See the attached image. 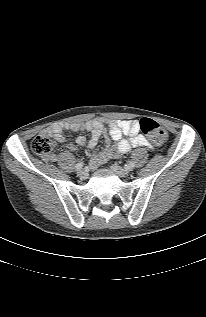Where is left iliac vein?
Masks as SVG:
<instances>
[{
  "label": "left iliac vein",
  "instance_id": "1",
  "mask_svg": "<svg viewBox=\"0 0 206 317\" xmlns=\"http://www.w3.org/2000/svg\"><path fill=\"white\" fill-rule=\"evenodd\" d=\"M111 168L120 177H127L130 173L128 169L122 168L117 164H113Z\"/></svg>",
  "mask_w": 206,
  "mask_h": 317
}]
</instances>
